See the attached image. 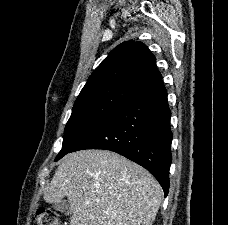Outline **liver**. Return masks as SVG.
I'll use <instances>...</instances> for the list:
<instances>
[{
  "instance_id": "obj_1",
  "label": "liver",
  "mask_w": 228,
  "mask_h": 225,
  "mask_svg": "<svg viewBox=\"0 0 228 225\" xmlns=\"http://www.w3.org/2000/svg\"><path fill=\"white\" fill-rule=\"evenodd\" d=\"M67 197L70 225H153L163 201L156 179L112 151H76L63 157L44 191L46 203Z\"/></svg>"
}]
</instances>
